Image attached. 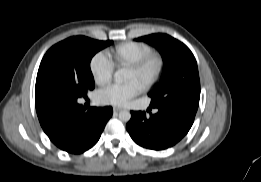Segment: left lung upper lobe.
Here are the masks:
<instances>
[{"instance_id":"obj_1","label":"left lung upper lobe","mask_w":261,"mask_h":182,"mask_svg":"<svg viewBox=\"0 0 261 182\" xmlns=\"http://www.w3.org/2000/svg\"><path fill=\"white\" fill-rule=\"evenodd\" d=\"M154 46L162 55L164 70L159 84L149 94L151 107H166L180 102L199 104L200 81L197 63L189 48L167 34H152L136 39Z\"/></svg>"}]
</instances>
